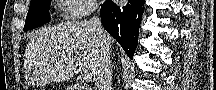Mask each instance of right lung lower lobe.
Here are the masks:
<instances>
[{
  "instance_id": "right-lung-lower-lobe-1",
  "label": "right lung lower lobe",
  "mask_w": 216,
  "mask_h": 90,
  "mask_svg": "<svg viewBox=\"0 0 216 90\" xmlns=\"http://www.w3.org/2000/svg\"><path fill=\"white\" fill-rule=\"evenodd\" d=\"M144 1L129 0L119 7L112 1L101 7V21L106 29L132 59L138 43L139 26L144 10Z\"/></svg>"
}]
</instances>
